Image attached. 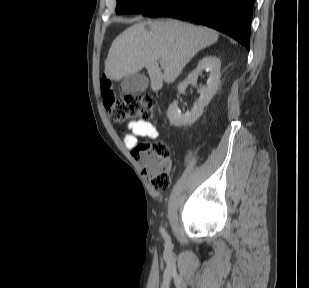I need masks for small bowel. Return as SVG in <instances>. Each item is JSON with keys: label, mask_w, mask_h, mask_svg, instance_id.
<instances>
[{"label": "small bowel", "mask_w": 309, "mask_h": 288, "mask_svg": "<svg viewBox=\"0 0 309 288\" xmlns=\"http://www.w3.org/2000/svg\"><path fill=\"white\" fill-rule=\"evenodd\" d=\"M129 133L124 137L126 146L133 150L138 142V138H144L148 141L155 140L159 135V130L156 126L146 121H131L127 125Z\"/></svg>", "instance_id": "c3829d8e"}]
</instances>
